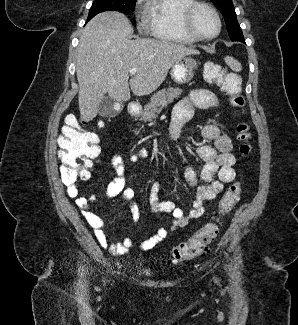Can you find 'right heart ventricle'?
Segmentation results:
<instances>
[{
	"label": "right heart ventricle",
	"instance_id": "obj_1",
	"mask_svg": "<svg viewBox=\"0 0 298 325\" xmlns=\"http://www.w3.org/2000/svg\"><path fill=\"white\" fill-rule=\"evenodd\" d=\"M190 0H151L145 10L151 27L149 37H159V41H180V46H191L196 41L184 34L178 25L180 11L192 3Z\"/></svg>",
	"mask_w": 298,
	"mask_h": 325
}]
</instances>
